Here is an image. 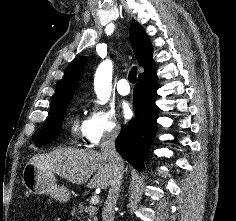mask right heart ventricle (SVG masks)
Listing matches in <instances>:
<instances>
[{"instance_id":"obj_1","label":"right heart ventricle","mask_w":236,"mask_h":221,"mask_svg":"<svg viewBox=\"0 0 236 221\" xmlns=\"http://www.w3.org/2000/svg\"><path fill=\"white\" fill-rule=\"evenodd\" d=\"M83 130V125L80 126L78 123V120H74L73 124H72V132L74 134H81Z\"/></svg>"}]
</instances>
